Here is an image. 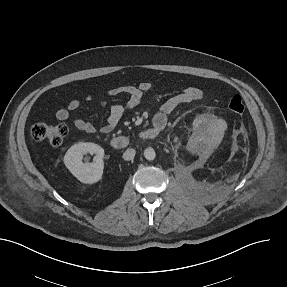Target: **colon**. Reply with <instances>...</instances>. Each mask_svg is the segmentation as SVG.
<instances>
[{
  "label": "colon",
  "instance_id": "1",
  "mask_svg": "<svg viewBox=\"0 0 287 287\" xmlns=\"http://www.w3.org/2000/svg\"><path fill=\"white\" fill-rule=\"evenodd\" d=\"M229 110L235 114H242L244 103L239 95H234L228 104ZM31 136L36 141H43L51 146H59L66 134L67 127L63 124H46L37 122L31 126Z\"/></svg>",
  "mask_w": 287,
  "mask_h": 287
}]
</instances>
